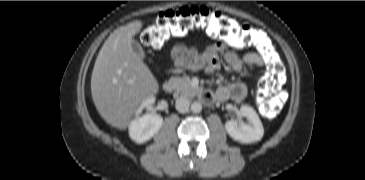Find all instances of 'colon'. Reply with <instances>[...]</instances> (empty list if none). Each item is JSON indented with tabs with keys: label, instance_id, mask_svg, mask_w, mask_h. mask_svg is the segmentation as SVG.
<instances>
[{
	"label": "colon",
	"instance_id": "obj_1",
	"mask_svg": "<svg viewBox=\"0 0 365 180\" xmlns=\"http://www.w3.org/2000/svg\"><path fill=\"white\" fill-rule=\"evenodd\" d=\"M193 29H203L208 36L230 47L260 46V52L269 66V71L260 82L258 97L265 105L264 114L275 115L282 103L281 97L275 95L283 83L281 66L274 59L273 51L258 40L251 28L233 25L215 10L186 6L159 13L143 30L141 39L147 46L157 48L171 38L185 36ZM272 102H275L274 106L271 105Z\"/></svg>",
	"mask_w": 365,
	"mask_h": 180
}]
</instances>
